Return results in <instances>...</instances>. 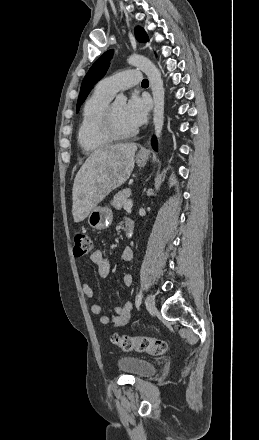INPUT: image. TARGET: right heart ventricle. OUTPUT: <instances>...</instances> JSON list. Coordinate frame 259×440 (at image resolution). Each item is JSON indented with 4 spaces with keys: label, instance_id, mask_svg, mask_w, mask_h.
Listing matches in <instances>:
<instances>
[{
    "label": "right heart ventricle",
    "instance_id": "right-heart-ventricle-1",
    "mask_svg": "<svg viewBox=\"0 0 259 440\" xmlns=\"http://www.w3.org/2000/svg\"><path fill=\"white\" fill-rule=\"evenodd\" d=\"M112 97L96 88L83 105L77 129V142L86 154L100 151L112 143L102 131L104 112Z\"/></svg>",
    "mask_w": 259,
    "mask_h": 440
}]
</instances>
